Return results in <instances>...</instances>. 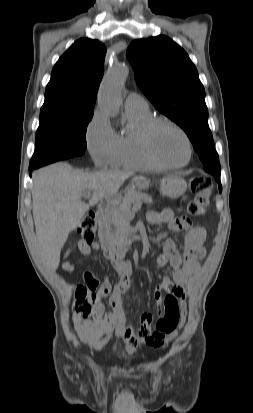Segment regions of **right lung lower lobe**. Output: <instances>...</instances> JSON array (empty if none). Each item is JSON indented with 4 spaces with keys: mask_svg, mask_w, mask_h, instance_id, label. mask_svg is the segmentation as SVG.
<instances>
[{
    "mask_svg": "<svg viewBox=\"0 0 253 413\" xmlns=\"http://www.w3.org/2000/svg\"><path fill=\"white\" fill-rule=\"evenodd\" d=\"M34 169H36V168H34V167H29V171H30V172L33 171Z\"/></svg>",
    "mask_w": 253,
    "mask_h": 413,
    "instance_id": "98d812e1",
    "label": "right lung lower lobe"
}]
</instances>
